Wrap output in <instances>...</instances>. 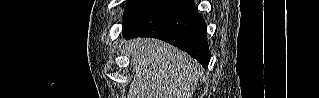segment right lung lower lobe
Wrapping results in <instances>:
<instances>
[{
  "label": "right lung lower lobe",
  "instance_id": "right-lung-lower-lobe-1",
  "mask_svg": "<svg viewBox=\"0 0 319 98\" xmlns=\"http://www.w3.org/2000/svg\"><path fill=\"white\" fill-rule=\"evenodd\" d=\"M122 34L126 39L138 36L161 39L208 67L206 26L193 0H150L124 20Z\"/></svg>",
  "mask_w": 319,
  "mask_h": 98
}]
</instances>
